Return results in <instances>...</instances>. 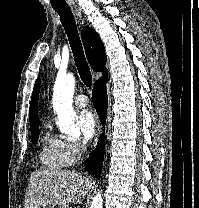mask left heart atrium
Segmentation results:
<instances>
[{
  "mask_svg": "<svg viewBox=\"0 0 199 208\" xmlns=\"http://www.w3.org/2000/svg\"><path fill=\"white\" fill-rule=\"evenodd\" d=\"M76 124L81 133L82 140L89 142L96 131V122L92 112L89 110L81 111L76 118Z\"/></svg>",
  "mask_w": 199,
  "mask_h": 208,
  "instance_id": "left-heart-atrium-1",
  "label": "left heart atrium"
}]
</instances>
